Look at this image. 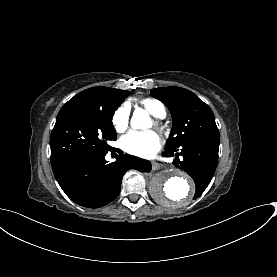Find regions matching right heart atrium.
I'll use <instances>...</instances> for the list:
<instances>
[{"label":"right heart atrium","mask_w":277,"mask_h":277,"mask_svg":"<svg viewBox=\"0 0 277 277\" xmlns=\"http://www.w3.org/2000/svg\"><path fill=\"white\" fill-rule=\"evenodd\" d=\"M113 125L118 132H124L128 128L129 114L126 108H119L113 115Z\"/></svg>","instance_id":"1"}]
</instances>
